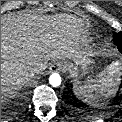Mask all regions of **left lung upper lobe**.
Listing matches in <instances>:
<instances>
[{
    "label": "left lung upper lobe",
    "instance_id": "left-lung-upper-lobe-1",
    "mask_svg": "<svg viewBox=\"0 0 122 122\" xmlns=\"http://www.w3.org/2000/svg\"><path fill=\"white\" fill-rule=\"evenodd\" d=\"M113 39H114V43L118 46V47H122V32H118V33H113Z\"/></svg>",
    "mask_w": 122,
    "mask_h": 122
}]
</instances>
